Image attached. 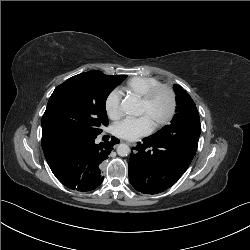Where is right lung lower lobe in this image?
<instances>
[{
  "mask_svg": "<svg viewBox=\"0 0 250 250\" xmlns=\"http://www.w3.org/2000/svg\"><path fill=\"white\" fill-rule=\"evenodd\" d=\"M97 135L76 131H50L42 134V148L50 169L66 187L78 191L97 188L103 181L102 162L119 143L111 141L96 144Z\"/></svg>",
  "mask_w": 250,
  "mask_h": 250,
  "instance_id": "98d812e1",
  "label": "right lung lower lobe"
}]
</instances>
